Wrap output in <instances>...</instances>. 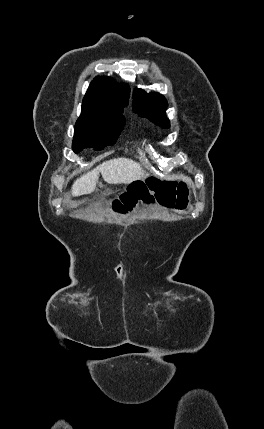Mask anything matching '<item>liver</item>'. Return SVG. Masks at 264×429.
<instances>
[{"mask_svg":"<svg viewBox=\"0 0 264 429\" xmlns=\"http://www.w3.org/2000/svg\"><path fill=\"white\" fill-rule=\"evenodd\" d=\"M99 172L109 184H129L143 178L146 172L141 165L126 158H116L103 162L98 167L82 175L72 185V195L81 196L95 190Z\"/></svg>","mask_w":264,"mask_h":429,"instance_id":"obj_1","label":"liver"}]
</instances>
